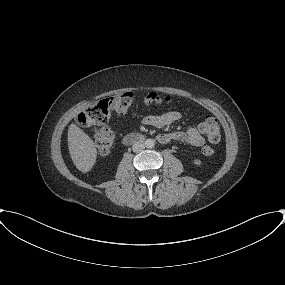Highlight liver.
<instances>
[{
	"mask_svg": "<svg viewBox=\"0 0 285 285\" xmlns=\"http://www.w3.org/2000/svg\"><path fill=\"white\" fill-rule=\"evenodd\" d=\"M68 148L76 168L89 172L96 162L97 149L93 140L74 123L68 128Z\"/></svg>",
	"mask_w": 285,
	"mask_h": 285,
	"instance_id": "liver-1",
	"label": "liver"
}]
</instances>
